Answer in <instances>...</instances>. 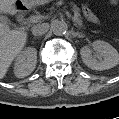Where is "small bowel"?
I'll return each instance as SVG.
<instances>
[{"mask_svg":"<svg viewBox=\"0 0 119 119\" xmlns=\"http://www.w3.org/2000/svg\"><path fill=\"white\" fill-rule=\"evenodd\" d=\"M84 14H85L86 18L89 19L90 21H92V22L98 21L97 16L91 11L89 6H87V5L84 7Z\"/></svg>","mask_w":119,"mask_h":119,"instance_id":"c3829d8e","label":"small bowel"}]
</instances>
